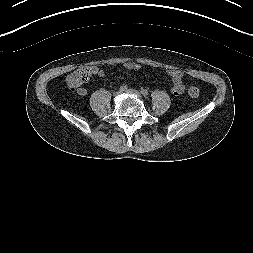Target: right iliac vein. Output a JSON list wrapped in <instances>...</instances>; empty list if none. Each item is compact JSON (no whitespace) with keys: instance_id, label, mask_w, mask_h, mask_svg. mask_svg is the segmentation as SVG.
Here are the masks:
<instances>
[{"instance_id":"obj_1","label":"right iliac vein","mask_w":253,"mask_h":253,"mask_svg":"<svg viewBox=\"0 0 253 253\" xmlns=\"http://www.w3.org/2000/svg\"><path fill=\"white\" fill-rule=\"evenodd\" d=\"M121 92L119 91V92H117L116 94H115V96H119V94H120Z\"/></svg>"}]
</instances>
